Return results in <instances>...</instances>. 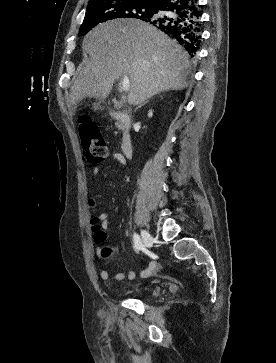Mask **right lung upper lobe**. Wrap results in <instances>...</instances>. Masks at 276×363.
Wrapping results in <instances>:
<instances>
[{
	"instance_id": "obj_1",
	"label": "right lung upper lobe",
	"mask_w": 276,
	"mask_h": 363,
	"mask_svg": "<svg viewBox=\"0 0 276 363\" xmlns=\"http://www.w3.org/2000/svg\"><path fill=\"white\" fill-rule=\"evenodd\" d=\"M97 1H102V0H90L89 4H92ZM132 1H141V2L147 3L151 6L158 7L164 0H132Z\"/></svg>"
}]
</instances>
